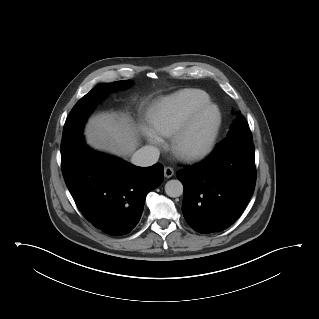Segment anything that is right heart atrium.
<instances>
[{"label": "right heart atrium", "mask_w": 319, "mask_h": 319, "mask_svg": "<svg viewBox=\"0 0 319 319\" xmlns=\"http://www.w3.org/2000/svg\"><path fill=\"white\" fill-rule=\"evenodd\" d=\"M146 138L149 143L153 144L156 147H161L163 145V140L160 135L153 129L146 130Z\"/></svg>", "instance_id": "1"}]
</instances>
